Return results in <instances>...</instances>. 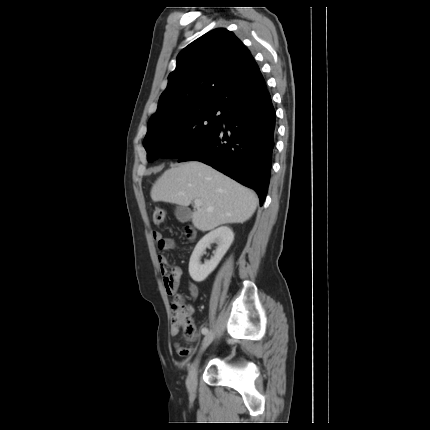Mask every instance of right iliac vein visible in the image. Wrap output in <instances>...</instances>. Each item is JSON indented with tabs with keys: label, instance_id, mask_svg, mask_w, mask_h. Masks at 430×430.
<instances>
[{
	"label": "right iliac vein",
	"instance_id": "obj_1",
	"mask_svg": "<svg viewBox=\"0 0 430 430\" xmlns=\"http://www.w3.org/2000/svg\"><path fill=\"white\" fill-rule=\"evenodd\" d=\"M214 336H215V334L213 331L207 333V335L205 336V338L203 340L201 349L199 351V355L195 359L194 363L192 364V366L190 368L189 375L187 378V388H188V391L190 392L191 395H194L196 393V389H197V370H198L200 356L206 350V348L212 343Z\"/></svg>",
	"mask_w": 430,
	"mask_h": 430
}]
</instances>
